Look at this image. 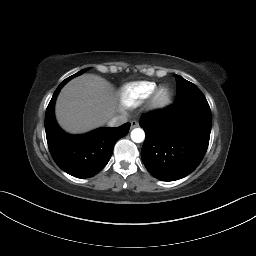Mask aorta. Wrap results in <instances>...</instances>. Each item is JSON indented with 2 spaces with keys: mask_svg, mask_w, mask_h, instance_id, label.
Instances as JSON below:
<instances>
[{
  "mask_svg": "<svg viewBox=\"0 0 256 256\" xmlns=\"http://www.w3.org/2000/svg\"><path fill=\"white\" fill-rule=\"evenodd\" d=\"M131 139L135 143H141L145 139V132L141 128H135L131 131Z\"/></svg>",
  "mask_w": 256,
  "mask_h": 256,
  "instance_id": "1",
  "label": "aorta"
}]
</instances>
